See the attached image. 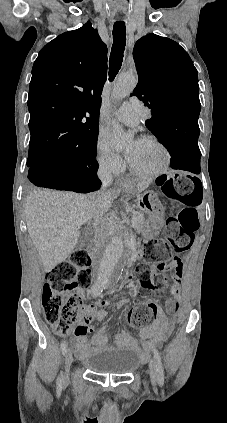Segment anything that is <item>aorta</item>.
Instances as JSON below:
<instances>
[{"label": "aorta", "instance_id": "aorta-1", "mask_svg": "<svg viewBox=\"0 0 227 423\" xmlns=\"http://www.w3.org/2000/svg\"><path fill=\"white\" fill-rule=\"evenodd\" d=\"M136 83L137 77L133 73L120 74L112 91L113 98L116 100L125 98L133 91ZM110 125L113 147L122 148L132 140V135L126 133L118 122L112 121ZM124 251V239L120 235L97 247L93 260V272L98 286L108 287L118 282L125 266Z\"/></svg>", "mask_w": 227, "mask_h": 423}]
</instances>
